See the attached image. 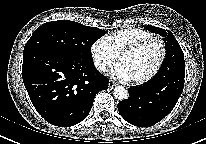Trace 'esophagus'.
<instances>
[{
    "instance_id": "1",
    "label": "esophagus",
    "mask_w": 206,
    "mask_h": 144,
    "mask_svg": "<svg viewBox=\"0 0 206 144\" xmlns=\"http://www.w3.org/2000/svg\"><path fill=\"white\" fill-rule=\"evenodd\" d=\"M108 85H109V88L110 89H112V88H114L117 84L114 82V81H109V83H108Z\"/></svg>"
}]
</instances>
